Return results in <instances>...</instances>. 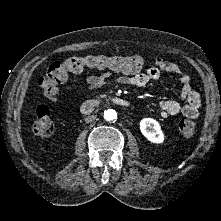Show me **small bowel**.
<instances>
[{
    "label": "small bowel",
    "instance_id": "c3829d8e",
    "mask_svg": "<svg viewBox=\"0 0 221 221\" xmlns=\"http://www.w3.org/2000/svg\"><path fill=\"white\" fill-rule=\"evenodd\" d=\"M161 72L174 74L179 77V81L182 84L181 99L185 103L182 105L176 101H163L160 103L159 116L161 118H168L182 114L190 119L197 118L201 104L199 94L192 89L189 75L175 62H168L162 58H156L155 66L148 68L144 72L132 73L115 78H112L108 73L99 75L92 74L86 77V83L90 89L107 85L142 87L149 82L157 80Z\"/></svg>",
    "mask_w": 221,
    "mask_h": 221
}]
</instances>
